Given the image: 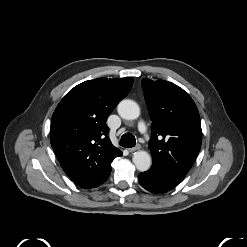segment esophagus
Returning a JSON list of instances; mask_svg holds the SVG:
<instances>
[{
	"mask_svg": "<svg viewBox=\"0 0 247 247\" xmlns=\"http://www.w3.org/2000/svg\"><path fill=\"white\" fill-rule=\"evenodd\" d=\"M140 149V145H136L135 147L128 148L129 152H134L136 150Z\"/></svg>",
	"mask_w": 247,
	"mask_h": 247,
	"instance_id": "obj_1",
	"label": "esophagus"
}]
</instances>
